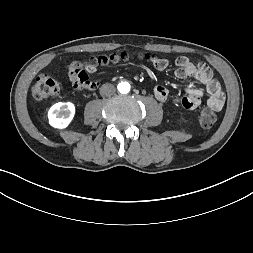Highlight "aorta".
I'll return each mask as SVG.
<instances>
[{
	"instance_id": "1",
	"label": "aorta",
	"mask_w": 253,
	"mask_h": 253,
	"mask_svg": "<svg viewBox=\"0 0 253 253\" xmlns=\"http://www.w3.org/2000/svg\"><path fill=\"white\" fill-rule=\"evenodd\" d=\"M117 89L121 94H127L130 91V84L128 82H120Z\"/></svg>"
}]
</instances>
